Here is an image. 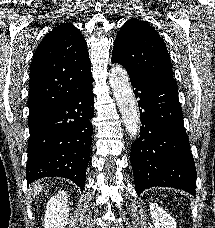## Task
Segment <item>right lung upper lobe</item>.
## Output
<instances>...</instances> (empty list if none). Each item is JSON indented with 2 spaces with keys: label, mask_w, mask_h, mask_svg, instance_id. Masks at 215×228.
Returning <instances> with one entry per match:
<instances>
[{
  "label": "right lung upper lobe",
  "mask_w": 215,
  "mask_h": 228,
  "mask_svg": "<svg viewBox=\"0 0 215 228\" xmlns=\"http://www.w3.org/2000/svg\"><path fill=\"white\" fill-rule=\"evenodd\" d=\"M90 75L87 43L80 31L71 23L53 28L39 44L30 66L28 119L62 101L70 83Z\"/></svg>",
  "instance_id": "right-lung-upper-lobe-1"
}]
</instances>
